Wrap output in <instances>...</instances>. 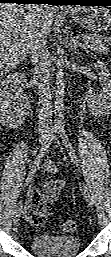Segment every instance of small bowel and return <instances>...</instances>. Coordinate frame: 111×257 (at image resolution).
<instances>
[{
	"instance_id": "c3829d8e",
	"label": "small bowel",
	"mask_w": 111,
	"mask_h": 257,
	"mask_svg": "<svg viewBox=\"0 0 111 257\" xmlns=\"http://www.w3.org/2000/svg\"><path fill=\"white\" fill-rule=\"evenodd\" d=\"M44 171L46 174H55L56 165L52 161H47L44 164ZM64 186V180H45L42 185L43 195L34 193L27 204L25 211L27 221L34 225L43 224L46 219V206L57 199Z\"/></svg>"
}]
</instances>
